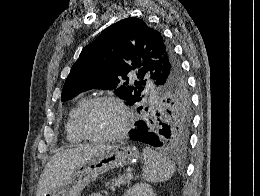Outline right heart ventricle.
Masks as SVG:
<instances>
[{"label":"right heart ventricle","instance_id":"e07e8e85","mask_svg":"<svg viewBox=\"0 0 260 196\" xmlns=\"http://www.w3.org/2000/svg\"><path fill=\"white\" fill-rule=\"evenodd\" d=\"M86 101H87L86 98H82L75 104V106L72 108V110L69 113L65 125L66 139L72 144H78L84 141L83 136L79 133V131L76 128L75 118H76L77 111Z\"/></svg>","mask_w":260,"mask_h":196}]
</instances>
